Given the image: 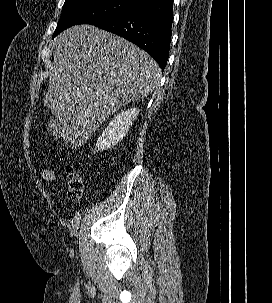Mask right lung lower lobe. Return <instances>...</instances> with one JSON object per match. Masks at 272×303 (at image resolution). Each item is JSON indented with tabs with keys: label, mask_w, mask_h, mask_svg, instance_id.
Wrapping results in <instances>:
<instances>
[{
	"label": "right lung lower lobe",
	"mask_w": 272,
	"mask_h": 303,
	"mask_svg": "<svg viewBox=\"0 0 272 303\" xmlns=\"http://www.w3.org/2000/svg\"><path fill=\"white\" fill-rule=\"evenodd\" d=\"M172 22L173 0H155L92 25L136 44L164 69L169 56Z\"/></svg>",
	"instance_id": "right-lung-lower-lobe-1"
}]
</instances>
